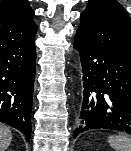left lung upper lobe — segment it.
Masks as SVG:
<instances>
[{"label": "left lung upper lobe", "mask_w": 131, "mask_h": 151, "mask_svg": "<svg viewBox=\"0 0 131 151\" xmlns=\"http://www.w3.org/2000/svg\"><path fill=\"white\" fill-rule=\"evenodd\" d=\"M77 33L92 43L131 59V19L116 0H89Z\"/></svg>", "instance_id": "obj_1"}]
</instances>
